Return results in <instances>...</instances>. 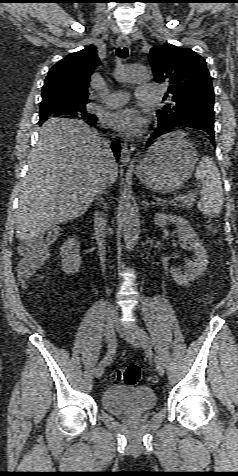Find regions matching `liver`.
Wrapping results in <instances>:
<instances>
[{
  "label": "liver",
  "instance_id": "obj_1",
  "mask_svg": "<svg viewBox=\"0 0 238 476\" xmlns=\"http://www.w3.org/2000/svg\"><path fill=\"white\" fill-rule=\"evenodd\" d=\"M39 133L20 189L16 237L21 242L82 216L107 174L103 141L84 121L52 118ZM117 175L115 165L108 175L110 183Z\"/></svg>",
  "mask_w": 238,
  "mask_h": 476
}]
</instances>
